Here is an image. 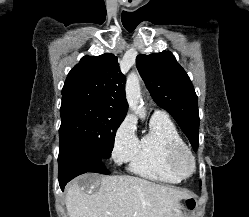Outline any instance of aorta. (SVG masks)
<instances>
[{"label":"aorta","instance_id":"obj_1","mask_svg":"<svg viewBox=\"0 0 249 217\" xmlns=\"http://www.w3.org/2000/svg\"><path fill=\"white\" fill-rule=\"evenodd\" d=\"M125 90L126 99L130 109L137 116H139L140 119H144L146 116V112L141 95L139 75L137 73L133 72L127 77Z\"/></svg>","mask_w":249,"mask_h":217}]
</instances>
